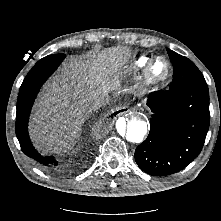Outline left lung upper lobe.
Instances as JSON below:
<instances>
[{
    "label": "left lung upper lobe",
    "instance_id": "left-lung-upper-lobe-1",
    "mask_svg": "<svg viewBox=\"0 0 221 221\" xmlns=\"http://www.w3.org/2000/svg\"><path fill=\"white\" fill-rule=\"evenodd\" d=\"M167 52L173 63V81L169 89H177L191 83L205 82L202 73L191 60L170 49H167Z\"/></svg>",
    "mask_w": 221,
    "mask_h": 221
}]
</instances>
